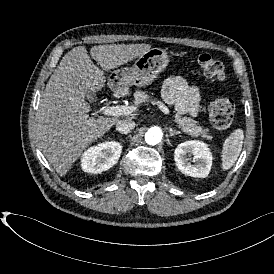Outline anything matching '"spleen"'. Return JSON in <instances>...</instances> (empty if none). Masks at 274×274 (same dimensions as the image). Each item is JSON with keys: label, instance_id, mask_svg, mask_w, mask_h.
I'll list each match as a JSON object with an SVG mask.
<instances>
[{"label": "spleen", "instance_id": "3e777b00", "mask_svg": "<svg viewBox=\"0 0 274 274\" xmlns=\"http://www.w3.org/2000/svg\"><path fill=\"white\" fill-rule=\"evenodd\" d=\"M244 133L242 129H236L224 141L222 149V169H230L237 161L242 150Z\"/></svg>", "mask_w": 274, "mask_h": 274}]
</instances>
